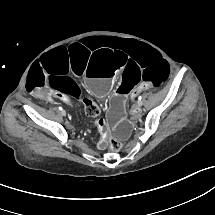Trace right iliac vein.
Masks as SVG:
<instances>
[{
    "instance_id": "63e3f726",
    "label": "right iliac vein",
    "mask_w": 215,
    "mask_h": 215,
    "mask_svg": "<svg viewBox=\"0 0 215 215\" xmlns=\"http://www.w3.org/2000/svg\"><path fill=\"white\" fill-rule=\"evenodd\" d=\"M61 114H62L63 116H65V115H66L65 110H62V111H61Z\"/></svg>"
}]
</instances>
